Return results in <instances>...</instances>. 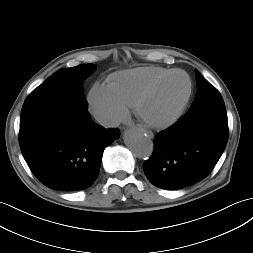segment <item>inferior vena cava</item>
I'll list each match as a JSON object with an SVG mask.
<instances>
[{
  "label": "inferior vena cava",
  "mask_w": 253,
  "mask_h": 253,
  "mask_svg": "<svg viewBox=\"0 0 253 253\" xmlns=\"http://www.w3.org/2000/svg\"><path fill=\"white\" fill-rule=\"evenodd\" d=\"M95 119L104 127H115L119 125L118 119L107 113H96Z\"/></svg>",
  "instance_id": "1"
}]
</instances>
